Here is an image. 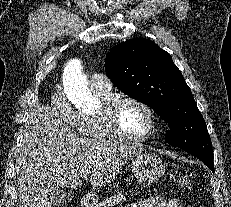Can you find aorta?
I'll use <instances>...</instances> for the list:
<instances>
[{"label": "aorta", "instance_id": "762f6f07", "mask_svg": "<svg viewBox=\"0 0 231 207\" xmlns=\"http://www.w3.org/2000/svg\"><path fill=\"white\" fill-rule=\"evenodd\" d=\"M63 87L67 99L78 109L94 108L98 101L92 95L79 59L70 60L63 73Z\"/></svg>", "mask_w": 231, "mask_h": 207}]
</instances>
